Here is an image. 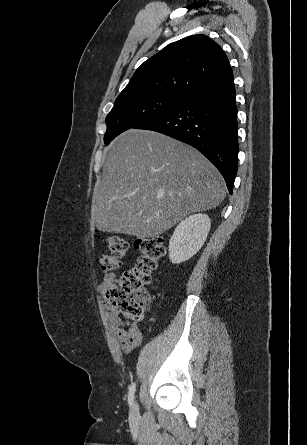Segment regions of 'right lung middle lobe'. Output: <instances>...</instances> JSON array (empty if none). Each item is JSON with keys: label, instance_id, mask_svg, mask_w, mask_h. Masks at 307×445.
Listing matches in <instances>:
<instances>
[{"label": "right lung middle lobe", "instance_id": "right-lung-middle-lobe-1", "mask_svg": "<svg viewBox=\"0 0 307 445\" xmlns=\"http://www.w3.org/2000/svg\"><path fill=\"white\" fill-rule=\"evenodd\" d=\"M184 99L161 94L119 95L106 117L105 144L120 133L170 111Z\"/></svg>", "mask_w": 307, "mask_h": 445}]
</instances>
